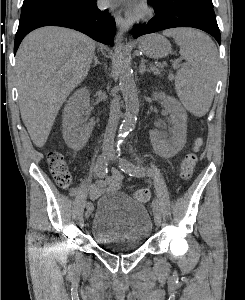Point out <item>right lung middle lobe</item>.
<instances>
[{
  "instance_id": "dd1d6c3e",
  "label": "right lung middle lobe",
  "mask_w": 245,
  "mask_h": 300,
  "mask_svg": "<svg viewBox=\"0 0 245 300\" xmlns=\"http://www.w3.org/2000/svg\"><path fill=\"white\" fill-rule=\"evenodd\" d=\"M93 0H24L19 23L68 9H82Z\"/></svg>"
}]
</instances>
